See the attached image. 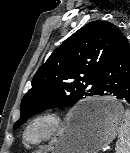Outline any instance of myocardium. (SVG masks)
I'll use <instances>...</instances> for the list:
<instances>
[{"instance_id": "f54148a6", "label": "myocardium", "mask_w": 130, "mask_h": 153, "mask_svg": "<svg viewBox=\"0 0 130 153\" xmlns=\"http://www.w3.org/2000/svg\"><path fill=\"white\" fill-rule=\"evenodd\" d=\"M64 125L63 116L56 111H43L33 116L22 131V140L25 144L36 146L52 139L61 131ZM40 128L38 134H33L35 128Z\"/></svg>"}]
</instances>
